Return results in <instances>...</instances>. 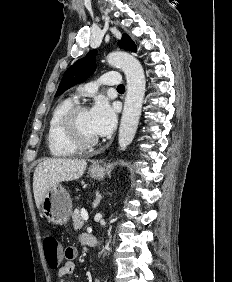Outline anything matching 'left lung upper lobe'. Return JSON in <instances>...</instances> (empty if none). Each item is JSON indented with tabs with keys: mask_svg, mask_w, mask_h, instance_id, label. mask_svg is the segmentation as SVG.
Instances as JSON below:
<instances>
[{
	"mask_svg": "<svg viewBox=\"0 0 232 282\" xmlns=\"http://www.w3.org/2000/svg\"><path fill=\"white\" fill-rule=\"evenodd\" d=\"M118 44L122 49L136 52V45L127 34L122 35V39L119 40ZM95 56L96 51L92 50L67 69L58 87L56 97L72 86L85 81L94 73L96 70Z\"/></svg>",
	"mask_w": 232,
	"mask_h": 282,
	"instance_id": "5c2ea615",
	"label": "left lung upper lobe"
}]
</instances>
